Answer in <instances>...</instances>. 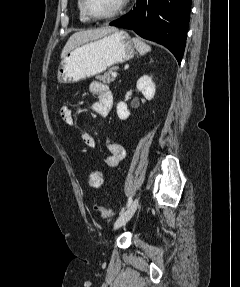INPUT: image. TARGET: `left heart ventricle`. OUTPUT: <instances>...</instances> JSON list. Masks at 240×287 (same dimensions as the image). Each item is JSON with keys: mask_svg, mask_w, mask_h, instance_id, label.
Segmentation results:
<instances>
[{"mask_svg": "<svg viewBox=\"0 0 240 287\" xmlns=\"http://www.w3.org/2000/svg\"><path fill=\"white\" fill-rule=\"evenodd\" d=\"M90 10L98 16H103L112 12L120 0H88Z\"/></svg>", "mask_w": 240, "mask_h": 287, "instance_id": "b2bd125f", "label": "left heart ventricle"}]
</instances>
